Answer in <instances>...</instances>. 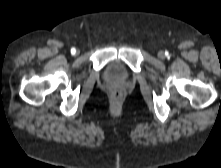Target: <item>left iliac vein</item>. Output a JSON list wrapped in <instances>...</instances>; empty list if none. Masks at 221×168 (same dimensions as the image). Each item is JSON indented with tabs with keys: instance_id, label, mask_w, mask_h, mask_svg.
<instances>
[{
	"instance_id": "4c4485c4",
	"label": "left iliac vein",
	"mask_w": 221,
	"mask_h": 168,
	"mask_svg": "<svg viewBox=\"0 0 221 168\" xmlns=\"http://www.w3.org/2000/svg\"><path fill=\"white\" fill-rule=\"evenodd\" d=\"M158 56H159L160 59H164V58H165V54H164L163 51H160V52L158 53Z\"/></svg>"
}]
</instances>
